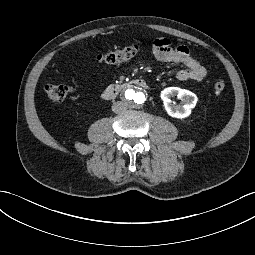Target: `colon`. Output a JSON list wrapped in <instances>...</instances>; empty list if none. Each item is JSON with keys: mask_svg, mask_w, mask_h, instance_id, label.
Here are the masks:
<instances>
[{"mask_svg": "<svg viewBox=\"0 0 255 255\" xmlns=\"http://www.w3.org/2000/svg\"><path fill=\"white\" fill-rule=\"evenodd\" d=\"M138 52L135 44H130L117 50L103 51L97 55V60L106 64H117L134 57ZM215 93L219 94L225 89L223 80H216L213 85ZM44 91L49 100L53 102H63L69 98L72 88L64 84H47Z\"/></svg>", "mask_w": 255, "mask_h": 255, "instance_id": "1", "label": "colon"}]
</instances>
